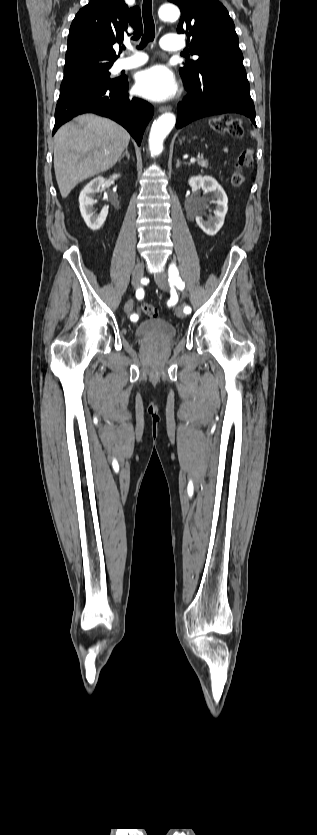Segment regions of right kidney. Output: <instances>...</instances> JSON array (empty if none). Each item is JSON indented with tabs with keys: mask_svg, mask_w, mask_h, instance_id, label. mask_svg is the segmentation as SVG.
Returning a JSON list of instances; mask_svg holds the SVG:
<instances>
[{
	"mask_svg": "<svg viewBox=\"0 0 317 835\" xmlns=\"http://www.w3.org/2000/svg\"><path fill=\"white\" fill-rule=\"evenodd\" d=\"M119 174H113L109 180H116L119 178ZM106 183V179L98 176L91 180L81 191L79 195V204H80V212L81 215L86 223V225L91 230H98L104 224L106 217L108 215V206H104L99 214H96L93 211V205L95 204V200L93 199L94 193L99 192L101 187H103Z\"/></svg>",
	"mask_w": 317,
	"mask_h": 835,
	"instance_id": "obj_1",
	"label": "right kidney"
}]
</instances>
